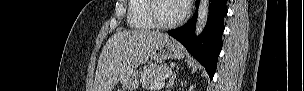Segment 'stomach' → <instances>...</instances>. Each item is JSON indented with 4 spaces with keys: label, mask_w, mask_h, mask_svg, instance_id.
Here are the masks:
<instances>
[{
    "label": "stomach",
    "mask_w": 304,
    "mask_h": 91,
    "mask_svg": "<svg viewBox=\"0 0 304 91\" xmlns=\"http://www.w3.org/2000/svg\"><path fill=\"white\" fill-rule=\"evenodd\" d=\"M183 49L180 44L171 38L163 40L153 51L151 59L162 62L167 59H180ZM123 91H135L139 85V72L136 68L128 70L120 79Z\"/></svg>",
    "instance_id": "1"
}]
</instances>
